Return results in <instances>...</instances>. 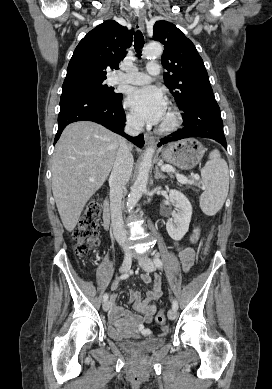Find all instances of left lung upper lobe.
I'll return each mask as SVG.
<instances>
[{"mask_svg":"<svg viewBox=\"0 0 272 389\" xmlns=\"http://www.w3.org/2000/svg\"><path fill=\"white\" fill-rule=\"evenodd\" d=\"M153 39L164 44L161 62L168 71L164 73V83L179 108L185 109L197 98L213 94L203 60L181 30L168 21H157Z\"/></svg>","mask_w":272,"mask_h":389,"instance_id":"left-lung-upper-lobe-1","label":"left lung upper lobe"}]
</instances>
